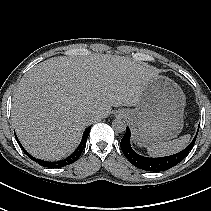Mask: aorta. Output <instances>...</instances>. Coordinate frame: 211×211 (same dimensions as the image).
<instances>
[{"instance_id":"aorta-1","label":"aorta","mask_w":211,"mask_h":211,"mask_svg":"<svg viewBox=\"0 0 211 211\" xmlns=\"http://www.w3.org/2000/svg\"><path fill=\"white\" fill-rule=\"evenodd\" d=\"M112 128L117 133H122L126 130V122L122 119H115L112 122Z\"/></svg>"}]
</instances>
